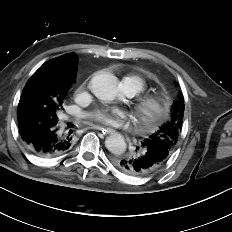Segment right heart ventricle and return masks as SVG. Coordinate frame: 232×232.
Listing matches in <instances>:
<instances>
[{"mask_svg": "<svg viewBox=\"0 0 232 232\" xmlns=\"http://www.w3.org/2000/svg\"><path fill=\"white\" fill-rule=\"evenodd\" d=\"M123 81L134 86L137 93L142 92L146 88L145 79L138 75H127L123 78Z\"/></svg>", "mask_w": 232, "mask_h": 232, "instance_id": "1", "label": "right heart ventricle"}]
</instances>
